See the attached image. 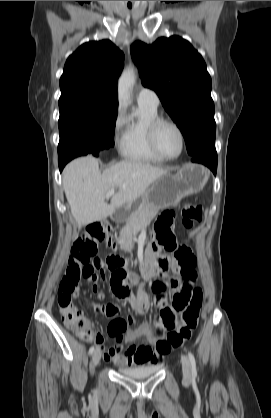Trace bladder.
I'll use <instances>...</instances> for the list:
<instances>
[{"instance_id": "31cf9c89", "label": "bladder", "mask_w": 271, "mask_h": 418, "mask_svg": "<svg viewBox=\"0 0 271 418\" xmlns=\"http://www.w3.org/2000/svg\"><path fill=\"white\" fill-rule=\"evenodd\" d=\"M161 367V363L139 367H120L119 372L133 379H144L157 373Z\"/></svg>"}]
</instances>
